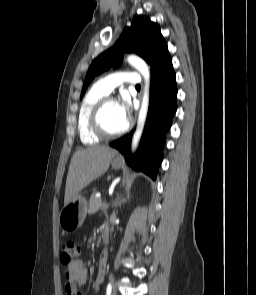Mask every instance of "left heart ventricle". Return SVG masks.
<instances>
[{
  "instance_id": "1",
  "label": "left heart ventricle",
  "mask_w": 256,
  "mask_h": 295,
  "mask_svg": "<svg viewBox=\"0 0 256 295\" xmlns=\"http://www.w3.org/2000/svg\"><path fill=\"white\" fill-rule=\"evenodd\" d=\"M102 123L109 132H117L121 130L126 124L119 116L116 103L110 101L107 103L103 114Z\"/></svg>"
}]
</instances>
